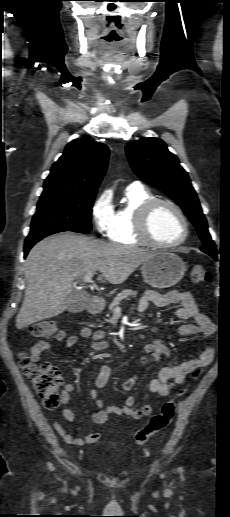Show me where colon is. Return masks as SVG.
I'll list each match as a JSON object with an SVG mask.
<instances>
[{"mask_svg":"<svg viewBox=\"0 0 230 517\" xmlns=\"http://www.w3.org/2000/svg\"><path fill=\"white\" fill-rule=\"evenodd\" d=\"M210 278V271L203 265H195L191 270L190 279L194 284H205ZM29 333L33 337L42 339H51L62 335L58 324L49 320L33 323L29 326ZM20 358L23 372L42 404L49 409L57 407L60 400L59 384L61 381V373L58 368L49 362L33 361L27 355H21ZM199 374L200 370H196L193 373V378H197ZM184 392L185 388L180 389L177 396ZM175 406V399L168 401L159 413L153 415L146 425L136 432L135 441L139 446H143L152 435L163 430L171 423L175 414Z\"/></svg>","mask_w":230,"mask_h":517,"instance_id":"obj_1","label":"colon"}]
</instances>
